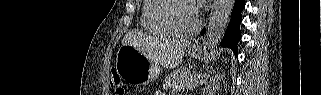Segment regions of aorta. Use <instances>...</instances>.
<instances>
[{"mask_svg": "<svg viewBox=\"0 0 321 95\" xmlns=\"http://www.w3.org/2000/svg\"><path fill=\"white\" fill-rule=\"evenodd\" d=\"M235 0H214L207 26V44L210 49L222 38L234 6Z\"/></svg>", "mask_w": 321, "mask_h": 95, "instance_id": "obj_1", "label": "aorta"}]
</instances>
